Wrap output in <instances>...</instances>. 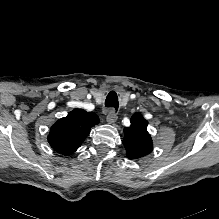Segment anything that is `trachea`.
Returning a JSON list of instances; mask_svg holds the SVG:
<instances>
[{
  "label": "trachea",
  "mask_w": 219,
  "mask_h": 219,
  "mask_svg": "<svg viewBox=\"0 0 219 219\" xmlns=\"http://www.w3.org/2000/svg\"><path fill=\"white\" fill-rule=\"evenodd\" d=\"M105 106L114 108V110L118 109L119 103H118V97L115 91L109 92L105 100Z\"/></svg>",
  "instance_id": "1"
}]
</instances>
